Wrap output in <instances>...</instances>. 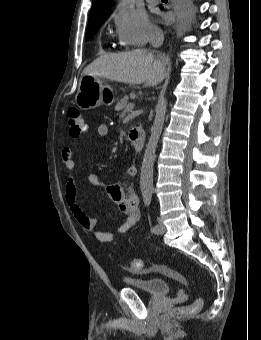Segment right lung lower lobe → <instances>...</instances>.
<instances>
[{"label": "right lung lower lobe", "mask_w": 261, "mask_h": 340, "mask_svg": "<svg viewBox=\"0 0 261 340\" xmlns=\"http://www.w3.org/2000/svg\"><path fill=\"white\" fill-rule=\"evenodd\" d=\"M189 4H191V0H188Z\"/></svg>", "instance_id": "1"}]
</instances>
